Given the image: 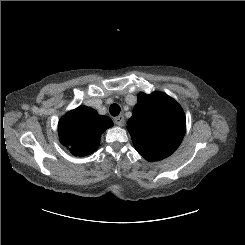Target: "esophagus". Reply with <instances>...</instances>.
<instances>
[{
  "instance_id": "obj_1",
  "label": "esophagus",
  "mask_w": 245,
  "mask_h": 245,
  "mask_svg": "<svg viewBox=\"0 0 245 245\" xmlns=\"http://www.w3.org/2000/svg\"><path fill=\"white\" fill-rule=\"evenodd\" d=\"M114 123L117 125V126H123L124 123H125V119H124V116L123 115H119L117 117L114 118Z\"/></svg>"
}]
</instances>
